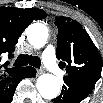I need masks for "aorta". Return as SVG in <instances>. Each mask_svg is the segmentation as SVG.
Listing matches in <instances>:
<instances>
[{
    "mask_svg": "<svg viewBox=\"0 0 103 103\" xmlns=\"http://www.w3.org/2000/svg\"><path fill=\"white\" fill-rule=\"evenodd\" d=\"M29 43L34 48L43 47L49 37L47 27L42 23H32L26 30ZM36 87L40 95L44 99H54L60 93V81L52 74H43L38 77Z\"/></svg>",
    "mask_w": 103,
    "mask_h": 103,
    "instance_id": "aorta-1",
    "label": "aorta"
}]
</instances>
